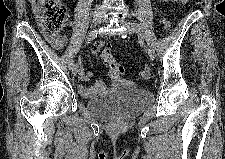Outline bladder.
I'll return each instance as SVG.
<instances>
[{"instance_id":"1","label":"bladder","mask_w":225,"mask_h":159,"mask_svg":"<svg viewBox=\"0 0 225 159\" xmlns=\"http://www.w3.org/2000/svg\"><path fill=\"white\" fill-rule=\"evenodd\" d=\"M153 103V95L135 86L101 93L87 101V109L105 120L130 119Z\"/></svg>"}]
</instances>
